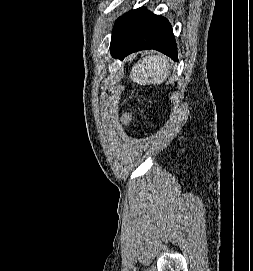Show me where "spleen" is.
<instances>
[{
    "label": "spleen",
    "instance_id": "obj_1",
    "mask_svg": "<svg viewBox=\"0 0 253 271\" xmlns=\"http://www.w3.org/2000/svg\"><path fill=\"white\" fill-rule=\"evenodd\" d=\"M169 74L168 59L162 55H147L132 67L130 79L139 84H161Z\"/></svg>",
    "mask_w": 253,
    "mask_h": 271
}]
</instances>
